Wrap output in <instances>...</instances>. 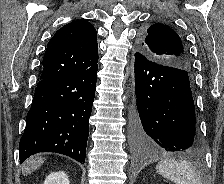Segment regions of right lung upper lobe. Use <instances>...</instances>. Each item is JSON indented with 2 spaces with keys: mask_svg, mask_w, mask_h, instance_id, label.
Listing matches in <instances>:
<instances>
[{
  "mask_svg": "<svg viewBox=\"0 0 224 184\" xmlns=\"http://www.w3.org/2000/svg\"><path fill=\"white\" fill-rule=\"evenodd\" d=\"M97 62V32L88 21L76 20L60 28L48 42L40 80L81 72Z\"/></svg>",
  "mask_w": 224,
  "mask_h": 184,
  "instance_id": "right-lung-upper-lobe-1",
  "label": "right lung upper lobe"
}]
</instances>
